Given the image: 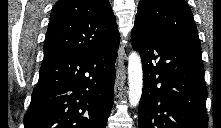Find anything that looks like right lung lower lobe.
Segmentation results:
<instances>
[{"label":"right lung lower lobe","mask_w":221,"mask_h":128,"mask_svg":"<svg viewBox=\"0 0 221 128\" xmlns=\"http://www.w3.org/2000/svg\"><path fill=\"white\" fill-rule=\"evenodd\" d=\"M119 40L43 63L25 128H105L113 105Z\"/></svg>","instance_id":"obj_1"}]
</instances>
